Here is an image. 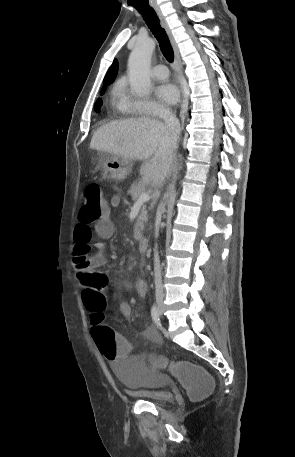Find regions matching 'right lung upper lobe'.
I'll use <instances>...</instances> for the list:
<instances>
[{"instance_id": "obj_1", "label": "right lung upper lobe", "mask_w": 295, "mask_h": 457, "mask_svg": "<svg viewBox=\"0 0 295 457\" xmlns=\"http://www.w3.org/2000/svg\"><path fill=\"white\" fill-rule=\"evenodd\" d=\"M117 70H118V62L115 59L104 78V81H103L104 85H108L114 80V78L116 77V74H117Z\"/></svg>"}]
</instances>
